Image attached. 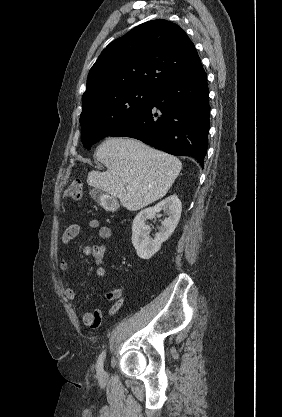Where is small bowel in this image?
Instances as JSON below:
<instances>
[{"label":"small bowel","instance_id":"1","mask_svg":"<svg viewBox=\"0 0 282 417\" xmlns=\"http://www.w3.org/2000/svg\"><path fill=\"white\" fill-rule=\"evenodd\" d=\"M89 227L94 230H98V235L101 239L107 240L111 237V229L108 226H100L99 222L96 219H92L89 221ZM80 232V225L78 223L70 224L63 232L61 236V242L63 245L69 244ZM60 270L63 273L68 272V262L65 257L60 259L59 262ZM96 276L101 281H106L108 278V274L105 268L99 267L96 271ZM64 295L67 299L74 301L76 300L77 296L73 288L70 286L69 282H65L64 284ZM104 300L106 301H114V304L110 308L109 314L110 316H114L117 314L119 309L124 305L125 299L123 297V289L121 287H115L109 291H107L104 295ZM101 310L99 308L95 309L94 311H88L83 316V321L86 326L91 328L92 330H96L100 326V320L97 319L95 312Z\"/></svg>","mask_w":282,"mask_h":417}]
</instances>
